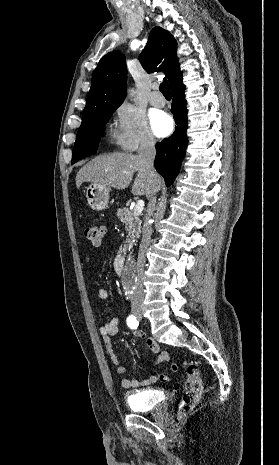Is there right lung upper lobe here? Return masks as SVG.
<instances>
[{"label": "right lung upper lobe", "mask_w": 279, "mask_h": 465, "mask_svg": "<svg viewBox=\"0 0 279 465\" xmlns=\"http://www.w3.org/2000/svg\"><path fill=\"white\" fill-rule=\"evenodd\" d=\"M176 50L177 42L173 36L156 26L151 30L148 42L139 56L148 73L164 71L170 88L182 80ZM126 79L125 56L120 51L109 52L101 58L92 75L81 126L91 122L100 112L117 109L122 104L126 96Z\"/></svg>", "instance_id": "1"}]
</instances>
